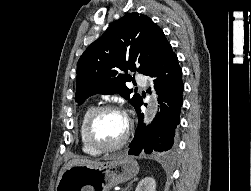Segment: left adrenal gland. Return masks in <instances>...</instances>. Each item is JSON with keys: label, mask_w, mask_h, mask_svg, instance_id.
Instances as JSON below:
<instances>
[{"label": "left adrenal gland", "mask_w": 251, "mask_h": 191, "mask_svg": "<svg viewBox=\"0 0 251 191\" xmlns=\"http://www.w3.org/2000/svg\"><path fill=\"white\" fill-rule=\"evenodd\" d=\"M138 177H134V179H132V181H130V183H128L126 189H129V187H131L133 181H137ZM126 189H124V191H126Z\"/></svg>", "instance_id": "obj_1"}]
</instances>
